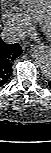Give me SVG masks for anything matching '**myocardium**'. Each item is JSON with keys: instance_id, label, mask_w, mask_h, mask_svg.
<instances>
[{"instance_id": "f54148a6", "label": "myocardium", "mask_w": 51, "mask_h": 153, "mask_svg": "<svg viewBox=\"0 0 51 153\" xmlns=\"http://www.w3.org/2000/svg\"><path fill=\"white\" fill-rule=\"evenodd\" d=\"M40 25L44 33L51 36V12L48 11L41 17Z\"/></svg>"}]
</instances>
